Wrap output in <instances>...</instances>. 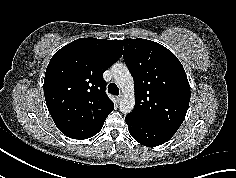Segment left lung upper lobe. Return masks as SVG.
Here are the masks:
<instances>
[{
    "label": "left lung upper lobe",
    "instance_id": "1",
    "mask_svg": "<svg viewBox=\"0 0 236 178\" xmlns=\"http://www.w3.org/2000/svg\"><path fill=\"white\" fill-rule=\"evenodd\" d=\"M124 61L135 81L134 110L127 116L177 131L185 119L190 85L178 58L146 39H124Z\"/></svg>",
    "mask_w": 236,
    "mask_h": 178
}]
</instances>
